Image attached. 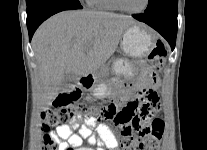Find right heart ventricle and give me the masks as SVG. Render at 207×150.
Listing matches in <instances>:
<instances>
[{
    "label": "right heart ventricle",
    "mask_w": 207,
    "mask_h": 150,
    "mask_svg": "<svg viewBox=\"0 0 207 150\" xmlns=\"http://www.w3.org/2000/svg\"><path fill=\"white\" fill-rule=\"evenodd\" d=\"M88 3L92 7L99 9V10H105V11H117L118 10L113 0H89Z\"/></svg>",
    "instance_id": "right-heart-ventricle-1"
}]
</instances>
